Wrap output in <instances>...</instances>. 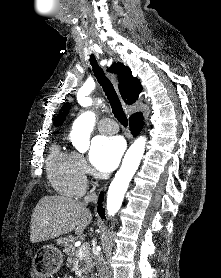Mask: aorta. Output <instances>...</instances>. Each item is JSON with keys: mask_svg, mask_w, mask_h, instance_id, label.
<instances>
[{"mask_svg": "<svg viewBox=\"0 0 221 278\" xmlns=\"http://www.w3.org/2000/svg\"><path fill=\"white\" fill-rule=\"evenodd\" d=\"M95 113H82L74 122L71 131V140L79 152L89 148L90 134L95 124ZM146 138H137L125 154L122 166L112 180L108 193L106 209L109 216H114L120 209L129 183L135 174L145 150Z\"/></svg>", "mask_w": 221, "mask_h": 278, "instance_id": "obj_1", "label": "aorta"}]
</instances>
